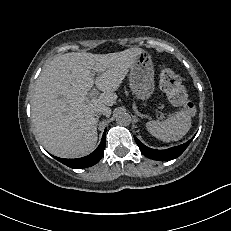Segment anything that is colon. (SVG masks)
Segmentation results:
<instances>
[{
  "label": "colon",
  "instance_id": "1",
  "mask_svg": "<svg viewBox=\"0 0 231 231\" xmlns=\"http://www.w3.org/2000/svg\"><path fill=\"white\" fill-rule=\"evenodd\" d=\"M160 88L172 104L180 106L190 115L195 113V106L189 100L187 89L180 77L165 66L160 69Z\"/></svg>",
  "mask_w": 231,
  "mask_h": 231
}]
</instances>
